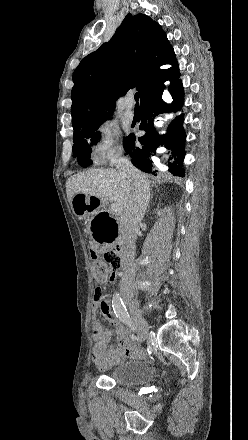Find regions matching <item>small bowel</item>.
<instances>
[{
    "label": "small bowel",
    "mask_w": 248,
    "mask_h": 440,
    "mask_svg": "<svg viewBox=\"0 0 248 440\" xmlns=\"http://www.w3.org/2000/svg\"><path fill=\"white\" fill-rule=\"evenodd\" d=\"M120 271V267L112 268V271L109 273L111 276L108 278L110 282L115 281L116 272ZM103 294L102 299H95L94 294V303L91 309V327L94 341L92 361L94 365L101 370L118 364L127 358H137L142 355V351L133 345L126 327L118 321V317L111 308L108 296L104 292ZM98 310H100L105 318L114 326L117 341L111 347H109V343L112 337V331L105 329L97 320Z\"/></svg>",
    "instance_id": "c3829d8e"
}]
</instances>
